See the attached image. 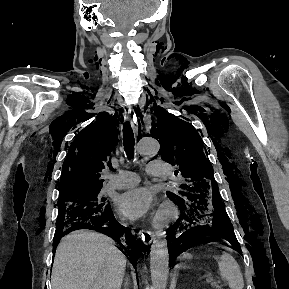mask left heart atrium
Here are the masks:
<instances>
[{
  "label": "left heart atrium",
  "mask_w": 289,
  "mask_h": 289,
  "mask_svg": "<svg viewBox=\"0 0 289 289\" xmlns=\"http://www.w3.org/2000/svg\"><path fill=\"white\" fill-rule=\"evenodd\" d=\"M154 200L152 190L135 188L120 194L116 199V206L125 217L135 220L150 212Z\"/></svg>",
  "instance_id": "1"
}]
</instances>
